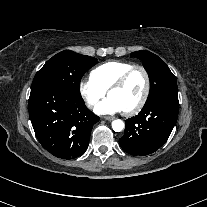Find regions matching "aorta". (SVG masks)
I'll return each instance as SVG.
<instances>
[{"label":"aorta","mask_w":207,"mask_h":207,"mask_svg":"<svg viewBox=\"0 0 207 207\" xmlns=\"http://www.w3.org/2000/svg\"><path fill=\"white\" fill-rule=\"evenodd\" d=\"M124 122L120 119L114 120L112 122V128L115 132H121L124 129Z\"/></svg>","instance_id":"762f6f07"}]
</instances>
